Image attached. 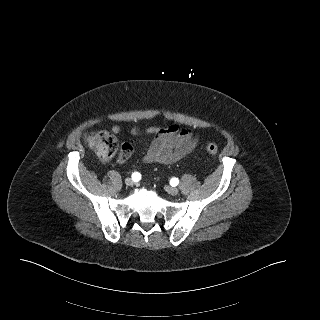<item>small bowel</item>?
<instances>
[{
  "mask_svg": "<svg viewBox=\"0 0 320 320\" xmlns=\"http://www.w3.org/2000/svg\"><path fill=\"white\" fill-rule=\"evenodd\" d=\"M112 132L119 134L121 129L119 126H113ZM131 134L134 136H155L143 157L145 164H174L189 155L198 144V138L190 130L177 125L167 128L151 126L144 130L135 126L131 128ZM122 149L125 159L121 161H124L131 155V146L129 143H124Z\"/></svg>",
  "mask_w": 320,
  "mask_h": 320,
  "instance_id": "small-bowel-1",
  "label": "small bowel"
}]
</instances>
